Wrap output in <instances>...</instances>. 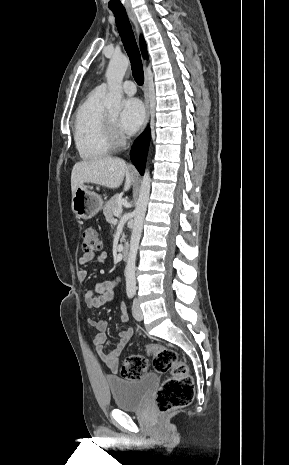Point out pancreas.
<instances>
[{"label": "pancreas", "mask_w": 289, "mask_h": 465, "mask_svg": "<svg viewBox=\"0 0 289 465\" xmlns=\"http://www.w3.org/2000/svg\"><path fill=\"white\" fill-rule=\"evenodd\" d=\"M120 200L121 196L115 195L104 205L103 214L107 222H112L115 210L121 208Z\"/></svg>", "instance_id": "1"}]
</instances>
